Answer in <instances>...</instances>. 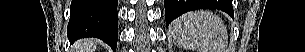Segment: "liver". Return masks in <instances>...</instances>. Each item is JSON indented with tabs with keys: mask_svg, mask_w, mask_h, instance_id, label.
I'll return each mask as SVG.
<instances>
[{
	"mask_svg": "<svg viewBox=\"0 0 305 52\" xmlns=\"http://www.w3.org/2000/svg\"><path fill=\"white\" fill-rule=\"evenodd\" d=\"M97 40L94 39H83L78 43L80 52H93L96 49Z\"/></svg>",
	"mask_w": 305,
	"mask_h": 52,
	"instance_id": "obj_1",
	"label": "liver"
}]
</instances>
